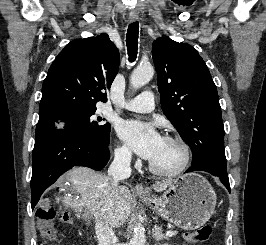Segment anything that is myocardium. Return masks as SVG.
<instances>
[{"label": "myocardium", "instance_id": "myocardium-1", "mask_svg": "<svg viewBox=\"0 0 266 245\" xmlns=\"http://www.w3.org/2000/svg\"><path fill=\"white\" fill-rule=\"evenodd\" d=\"M164 139L176 142L181 146L182 153H183V160H182L180 167L171 172H164V171H160L156 169L150 162L148 164V168H149V171L155 176L164 177V178H174V177H177L183 174L188 169L191 163V159H192L191 149L188 143L181 137L174 136V135H168Z\"/></svg>", "mask_w": 266, "mask_h": 245}]
</instances>
